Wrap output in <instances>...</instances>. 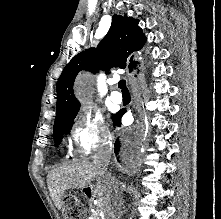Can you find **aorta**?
<instances>
[{"label":"aorta","instance_id":"obj_1","mask_svg":"<svg viewBox=\"0 0 221 219\" xmlns=\"http://www.w3.org/2000/svg\"><path fill=\"white\" fill-rule=\"evenodd\" d=\"M87 90H88L87 79L82 77L80 79V87H79L80 95H83Z\"/></svg>","mask_w":221,"mask_h":219}]
</instances>
